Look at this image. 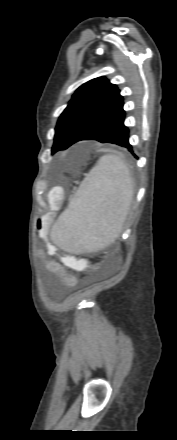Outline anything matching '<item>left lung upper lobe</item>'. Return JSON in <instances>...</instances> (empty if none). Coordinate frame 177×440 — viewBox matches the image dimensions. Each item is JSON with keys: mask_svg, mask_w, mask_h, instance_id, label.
<instances>
[{"mask_svg": "<svg viewBox=\"0 0 177 440\" xmlns=\"http://www.w3.org/2000/svg\"><path fill=\"white\" fill-rule=\"evenodd\" d=\"M123 110V97L104 77L92 79L73 94L55 128L52 153L80 141L92 130Z\"/></svg>", "mask_w": 177, "mask_h": 440, "instance_id": "1", "label": "left lung upper lobe"}]
</instances>
